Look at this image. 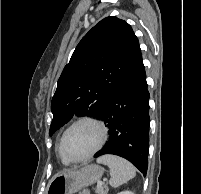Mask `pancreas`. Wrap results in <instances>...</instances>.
Returning <instances> with one entry per match:
<instances>
[{
    "label": "pancreas",
    "mask_w": 201,
    "mask_h": 194,
    "mask_svg": "<svg viewBox=\"0 0 201 194\" xmlns=\"http://www.w3.org/2000/svg\"><path fill=\"white\" fill-rule=\"evenodd\" d=\"M108 190L107 186H103L96 189V194H107Z\"/></svg>",
    "instance_id": "1"
}]
</instances>
